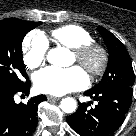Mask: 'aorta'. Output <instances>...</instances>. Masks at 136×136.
I'll use <instances>...</instances> for the list:
<instances>
[{
    "label": "aorta",
    "mask_w": 136,
    "mask_h": 136,
    "mask_svg": "<svg viewBox=\"0 0 136 136\" xmlns=\"http://www.w3.org/2000/svg\"><path fill=\"white\" fill-rule=\"evenodd\" d=\"M69 53L63 48H53L47 53V61L56 66H67L70 63L66 60ZM77 103L73 98L67 97L62 99L60 108L65 113H73L76 110Z\"/></svg>",
    "instance_id": "1"
}]
</instances>
